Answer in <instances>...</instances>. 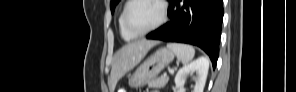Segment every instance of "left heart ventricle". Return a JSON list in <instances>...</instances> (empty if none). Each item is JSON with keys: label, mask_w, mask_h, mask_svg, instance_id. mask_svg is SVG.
<instances>
[{"label": "left heart ventricle", "mask_w": 296, "mask_h": 92, "mask_svg": "<svg viewBox=\"0 0 296 92\" xmlns=\"http://www.w3.org/2000/svg\"><path fill=\"white\" fill-rule=\"evenodd\" d=\"M161 10L157 2L143 0L135 2L128 13L130 26L136 31H143L153 26L160 18Z\"/></svg>", "instance_id": "left-heart-ventricle-1"}]
</instances>
